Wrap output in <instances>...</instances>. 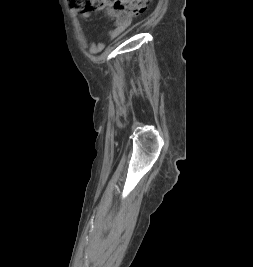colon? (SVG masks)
I'll return each instance as SVG.
<instances>
[{
	"label": "colon",
	"instance_id": "obj_1",
	"mask_svg": "<svg viewBox=\"0 0 253 267\" xmlns=\"http://www.w3.org/2000/svg\"><path fill=\"white\" fill-rule=\"evenodd\" d=\"M148 0H67L69 9L77 12H91L106 6H113L117 11L128 16L141 14L147 7Z\"/></svg>",
	"mask_w": 253,
	"mask_h": 267
}]
</instances>
